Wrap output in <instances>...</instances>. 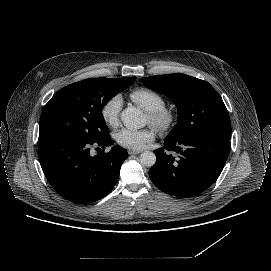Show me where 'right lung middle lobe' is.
<instances>
[{
  "label": "right lung middle lobe",
  "instance_id": "dd1d6c3e",
  "mask_svg": "<svg viewBox=\"0 0 271 271\" xmlns=\"http://www.w3.org/2000/svg\"><path fill=\"white\" fill-rule=\"evenodd\" d=\"M128 78H94L73 83L58 91L45 105L39 139L47 136H72L90 142L109 134L102 108L135 81Z\"/></svg>",
  "mask_w": 271,
  "mask_h": 271
}]
</instances>
